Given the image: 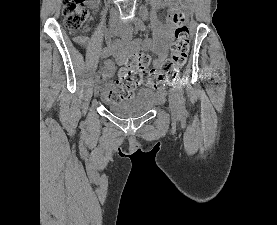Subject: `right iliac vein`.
Here are the masks:
<instances>
[{
	"instance_id": "right-iliac-vein-1",
	"label": "right iliac vein",
	"mask_w": 277,
	"mask_h": 225,
	"mask_svg": "<svg viewBox=\"0 0 277 225\" xmlns=\"http://www.w3.org/2000/svg\"><path fill=\"white\" fill-rule=\"evenodd\" d=\"M112 34L115 36H122L124 34V31L123 29L116 27L112 29ZM93 92H94V95L96 96L99 92L98 87H94Z\"/></svg>"
}]
</instances>
